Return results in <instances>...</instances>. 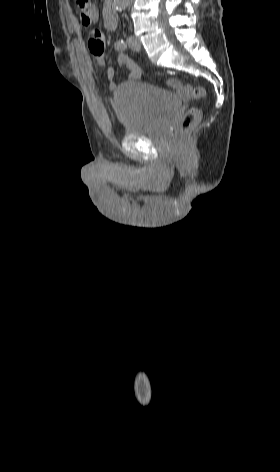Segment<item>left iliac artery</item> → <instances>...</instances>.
Here are the masks:
<instances>
[{
    "mask_svg": "<svg viewBox=\"0 0 280 472\" xmlns=\"http://www.w3.org/2000/svg\"><path fill=\"white\" fill-rule=\"evenodd\" d=\"M115 48H116L117 50L123 51V50L126 49V44H125V42H124L123 40H118V41L115 43Z\"/></svg>",
    "mask_w": 280,
    "mask_h": 472,
    "instance_id": "1",
    "label": "left iliac artery"
}]
</instances>
